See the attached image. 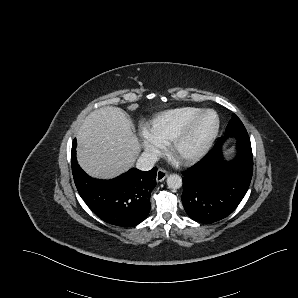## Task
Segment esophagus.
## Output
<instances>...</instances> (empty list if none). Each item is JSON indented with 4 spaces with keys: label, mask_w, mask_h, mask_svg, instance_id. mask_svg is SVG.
Listing matches in <instances>:
<instances>
[{
    "label": "esophagus",
    "mask_w": 298,
    "mask_h": 298,
    "mask_svg": "<svg viewBox=\"0 0 298 298\" xmlns=\"http://www.w3.org/2000/svg\"><path fill=\"white\" fill-rule=\"evenodd\" d=\"M167 177V171L163 168H159L157 171V182H162Z\"/></svg>",
    "instance_id": "1"
}]
</instances>
